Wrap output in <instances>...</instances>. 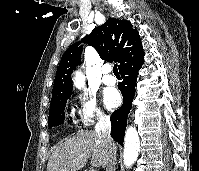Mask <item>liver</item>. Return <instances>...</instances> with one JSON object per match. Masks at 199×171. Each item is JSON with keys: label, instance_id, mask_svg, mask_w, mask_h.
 <instances>
[{"label": "liver", "instance_id": "1", "mask_svg": "<svg viewBox=\"0 0 199 171\" xmlns=\"http://www.w3.org/2000/svg\"><path fill=\"white\" fill-rule=\"evenodd\" d=\"M111 153L116 156L115 144L109 148L97 132L79 131L55 147L48 161L47 171H78L86 165L89 157L93 167H104Z\"/></svg>", "mask_w": 199, "mask_h": 171}]
</instances>
